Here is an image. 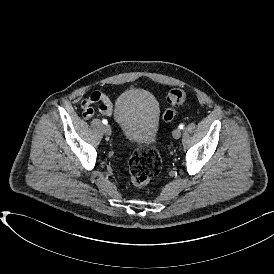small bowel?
<instances>
[{
    "label": "small bowel",
    "instance_id": "c3829d8e",
    "mask_svg": "<svg viewBox=\"0 0 274 274\" xmlns=\"http://www.w3.org/2000/svg\"><path fill=\"white\" fill-rule=\"evenodd\" d=\"M98 103V110L104 115H111L113 104L111 100L100 91H93L87 98L81 102L82 115L85 119H90L94 115L93 105Z\"/></svg>",
    "mask_w": 274,
    "mask_h": 274
}]
</instances>
